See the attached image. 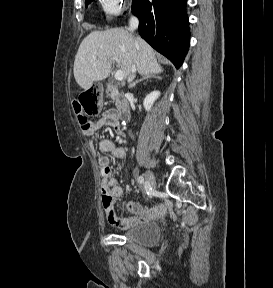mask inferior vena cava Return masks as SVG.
<instances>
[{"instance_id":"obj_1","label":"inferior vena cava","mask_w":273,"mask_h":288,"mask_svg":"<svg viewBox=\"0 0 273 288\" xmlns=\"http://www.w3.org/2000/svg\"><path fill=\"white\" fill-rule=\"evenodd\" d=\"M138 27V20L135 17H131L129 21V30L134 31ZM135 73H136V67L135 65L132 66L131 73L128 76V82H132L133 79L135 78Z\"/></svg>"}]
</instances>
